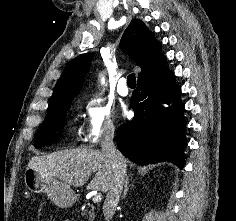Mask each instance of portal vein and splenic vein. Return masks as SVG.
I'll use <instances>...</instances> for the list:
<instances>
[{
  "label": "portal vein and splenic vein",
  "instance_id": "1",
  "mask_svg": "<svg viewBox=\"0 0 236 221\" xmlns=\"http://www.w3.org/2000/svg\"><path fill=\"white\" fill-rule=\"evenodd\" d=\"M102 200V195L101 194H96L94 197H93V202L94 203H98Z\"/></svg>",
  "mask_w": 236,
  "mask_h": 221
}]
</instances>
